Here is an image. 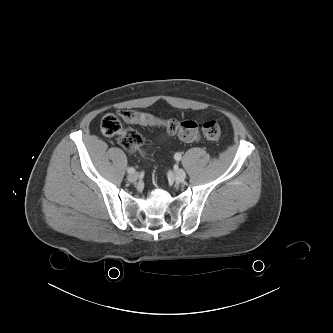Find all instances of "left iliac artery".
I'll list each match as a JSON object with an SVG mask.
<instances>
[{
  "label": "left iliac artery",
  "instance_id": "obj_1",
  "mask_svg": "<svg viewBox=\"0 0 333 333\" xmlns=\"http://www.w3.org/2000/svg\"><path fill=\"white\" fill-rule=\"evenodd\" d=\"M174 158H175L176 161H180L181 158H182V156H181L180 153H176V154L174 155Z\"/></svg>",
  "mask_w": 333,
  "mask_h": 333
}]
</instances>
